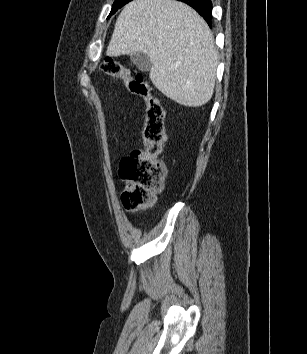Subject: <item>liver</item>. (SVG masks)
<instances>
[{
	"label": "liver",
	"mask_w": 307,
	"mask_h": 354,
	"mask_svg": "<svg viewBox=\"0 0 307 354\" xmlns=\"http://www.w3.org/2000/svg\"><path fill=\"white\" fill-rule=\"evenodd\" d=\"M143 52L149 77L166 97L199 107L212 97L218 53L204 19L176 0H133L117 18L106 55Z\"/></svg>",
	"instance_id": "liver-1"
}]
</instances>
